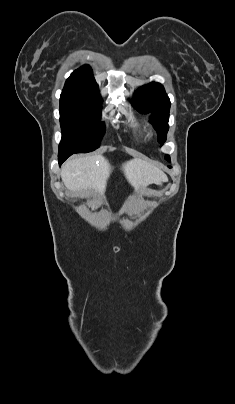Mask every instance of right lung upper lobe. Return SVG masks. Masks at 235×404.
I'll list each match as a JSON object with an SVG mask.
<instances>
[{
    "mask_svg": "<svg viewBox=\"0 0 235 404\" xmlns=\"http://www.w3.org/2000/svg\"><path fill=\"white\" fill-rule=\"evenodd\" d=\"M77 101L101 102L99 87L89 65L75 70L66 80L61 97Z\"/></svg>",
    "mask_w": 235,
    "mask_h": 404,
    "instance_id": "right-lung-upper-lobe-1",
    "label": "right lung upper lobe"
}]
</instances>
